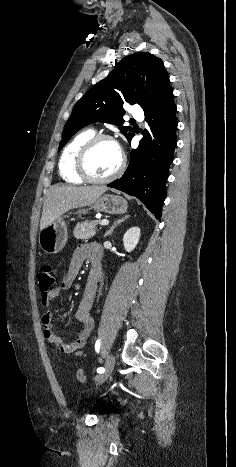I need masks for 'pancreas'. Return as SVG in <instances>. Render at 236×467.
Listing matches in <instances>:
<instances>
[{
	"instance_id": "obj_1",
	"label": "pancreas",
	"mask_w": 236,
	"mask_h": 467,
	"mask_svg": "<svg viewBox=\"0 0 236 467\" xmlns=\"http://www.w3.org/2000/svg\"><path fill=\"white\" fill-rule=\"evenodd\" d=\"M98 220H86L83 223H78L73 231L76 239L87 240L96 234V226Z\"/></svg>"
}]
</instances>
